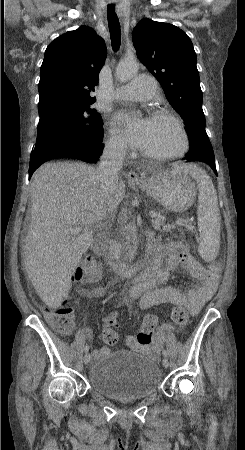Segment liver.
Here are the masks:
<instances>
[{"instance_id": "liver-1", "label": "liver", "mask_w": 245, "mask_h": 450, "mask_svg": "<svg viewBox=\"0 0 245 450\" xmlns=\"http://www.w3.org/2000/svg\"><path fill=\"white\" fill-rule=\"evenodd\" d=\"M124 195L125 184L120 180L109 202L102 194L95 168L84 163H46L35 171L24 263L48 307H60L68 296L71 276L93 244L94 225L116 209ZM78 226L83 232L71 234Z\"/></svg>"}]
</instances>
